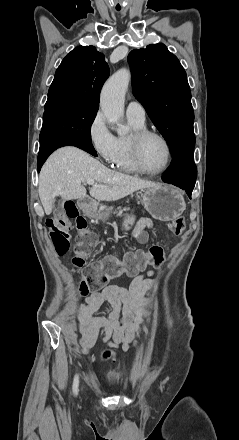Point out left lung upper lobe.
I'll return each instance as SVG.
<instances>
[{
    "mask_svg": "<svg viewBox=\"0 0 239 440\" xmlns=\"http://www.w3.org/2000/svg\"><path fill=\"white\" fill-rule=\"evenodd\" d=\"M134 96L144 106L172 154L196 142L191 92L184 68L162 43L128 55Z\"/></svg>",
    "mask_w": 239,
    "mask_h": 440,
    "instance_id": "1",
    "label": "left lung upper lobe"
}]
</instances>
